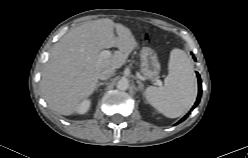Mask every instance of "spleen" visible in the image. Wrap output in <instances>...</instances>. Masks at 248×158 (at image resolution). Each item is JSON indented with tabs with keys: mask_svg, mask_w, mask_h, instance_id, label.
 Instances as JSON below:
<instances>
[{
	"mask_svg": "<svg viewBox=\"0 0 248 158\" xmlns=\"http://www.w3.org/2000/svg\"><path fill=\"white\" fill-rule=\"evenodd\" d=\"M169 74L161 87L150 86L145 90L147 101L160 113L169 118L185 114L197 96V79L190 59L181 49L170 53Z\"/></svg>",
	"mask_w": 248,
	"mask_h": 158,
	"instance_id": "1",
	"label": "spleen"
}]
</instances>
